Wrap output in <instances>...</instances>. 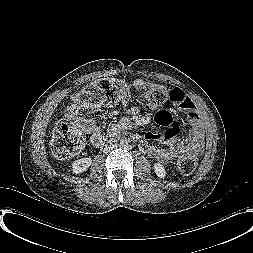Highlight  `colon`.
<instances>
[{
	"label": "colon",
	"instance_id": "1",
	"mask_svg": "<svg viewBox=\"0 0 253 253\" xmlns=\"http://www.w3.org/2000/svg\"><path fill=\"white\" fill-rule=\"evenodd\" d=\"M131 98V88L124 80L102 79L96 81L78 95V104L86 109H94L101 106H113L127 104ZM143 99L149 107H158L167 101H175V93L172 88L150 84L145 87ZM72 109L67 108V114ZM84 138L77 128L70 122L59 123L51 139V149L58 158H70L78 154L84 147ZM178 169L184 175L193 173L196 167V159L185 156L178 160Z\"/></svg>",
	"mask_w": 253,
	"mask_h": 253
}]
</instances>
